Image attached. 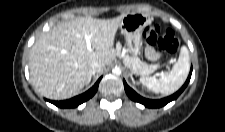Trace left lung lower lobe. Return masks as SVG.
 <instances>
[{
    "instance_id": "left-lung-lower-lobe-1",
    "label": "left lung lower lobe",
    "mask_w": 225,
    "mask_h": 132,
    "mask_svg": "<svg viewBox=\"0 0 225 132\" xmlns=\"http://www.w3.org/2000/svg\"><path fill=\"white\" fill-rule=\"evenodd\" d=\"M191 74H192V67H191V71L190 74L185 82V84L173 95L160 99V100H149V99H145L141 96H139L133 89H131L127 83L125 82V80H123L124 83V88L125 91L127 93V95L135 102H139L141 104H143L146 107H150V108H159L162 107L164 105H166L167 103L175 100L182 92L183 90L186 88V86L188 85L190 78H191Z\"/></svg>"
}]
</instances>
